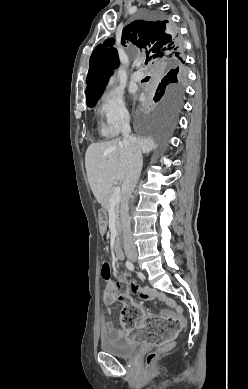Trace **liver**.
Wrapping results in <instances>:
<instances>
[{"label":"liver","mask_w":248,"mask_h":389,"mask_svg":"<svg viewBox=\"0 0 248 389\" xmlns=\"http://www.w3.org/2000/svg\"><path fill=\"white\" fill-rule=\"evenodd\" d=\"M140 149L148 154L155 148L151 138L137 139ZM85 168L90 188L99 203L106 198L115 181H123L128 173L129 159L120 140L92 143L85 154Z\"/></svg>","instance_id":"1"}]
</instances>
